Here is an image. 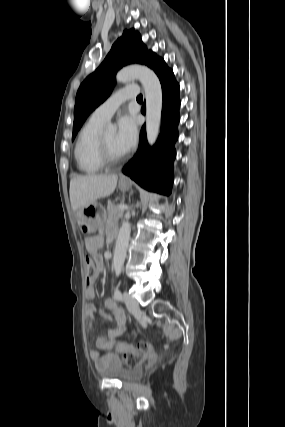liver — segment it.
<instances>
[{
	"mask_svg": "<svg viewBox=\"0 0 285 427\" xmlns=\"http://www.w3.org/2000/svg\"><path fill=\"white\" fill-rule=\"evenodd\" d=\"M118 176L84 175L75 176L70 181V202L74 212L94 204L98 199L112 194L117 185Z\"/></svg>",
	"mask_w": 285,
	"mask_h": 427,
	"instance_id": "6515ba94",
	"label": "liver"
}]
</instances>
